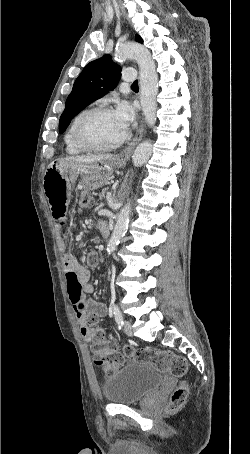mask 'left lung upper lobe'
<instances>
[{
	"instance_id": "obj_1",
	"label": "left lung upper lobe",
	"mask_w": 250,
	"mask_h": 454,
	"mask_svg": "<svg viewBox=\"0 0 250 454\" xmlns=\"http://www.w3.org/2000/svg\"><path fill=\"white\" fill-rule=\"evenodd\" d=\"M136 40L143 42L140 36ZM121 76V68L115 64L110 55L88 63L76 79L72 92L66 100L65 110L59 121V132L62 134L71 120L93 101L113 90Z\"/></svg>"
}]
</instances>
